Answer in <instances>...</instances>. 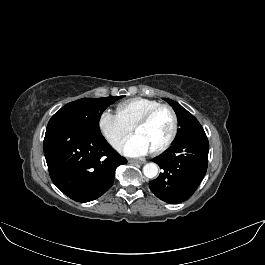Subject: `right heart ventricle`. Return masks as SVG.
Masks as SVG:
<instances>
[{
  "label": "right heart ventricle",
  "instance_id": "right-heart-ventricle-1",
  "mask_svg": "<svg viewBox=\"0 0 265 265\" xmlns=\"http://www.w3.org/2000/svg\"><path fill=\"white\" fill-rule=\"evenodd\" d=\"M160 105L156 100L136 97L119 103L116 113L130 127L148 110Z\"/></svg>",
  "mask_w": 265,
  "mask_h": 265
}]
</instances>
